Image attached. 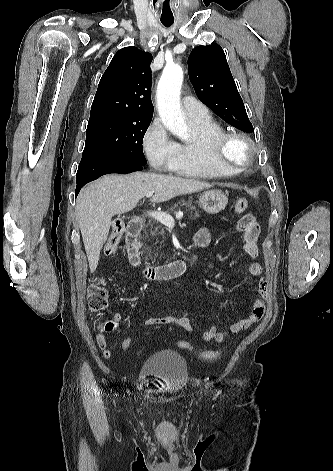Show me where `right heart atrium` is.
Masks as SVG:
<instances>
[{
  "label": "right heart atrium",
  "mask_w": 333,
  "mask_h": 471,
  "mask_svg": "<svg viewBox=\"0 0 333 471\" xmlns=\"http://www.w3.org/2000/svg\"><path fill=\"white\" fill-rule=\"evenodd\" d=\"M142 146L148 161L155 169H170L176 155L177 143L159 120H154L145 131Z\"/></svg>",
  "instance_id": "obj_1"
}]
</instances>
